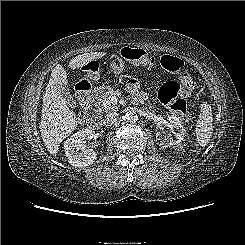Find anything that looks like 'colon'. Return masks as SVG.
Returning a JSON list of instances; mask_svg holds the SVG:
<instances>
[{
    "mask_svg": "<svg viewBox=\"0 0 245 245\" xmlns=\"http://www.w3.org/2000/svg\"><path fill=\"white\" fill-rule=\"evenodd\" d=\"M121 54L124 58L144 64L149 69L153 67L155 62L154 58L141 49H123ZM160 64L166 71L179 74L180 81L165 82L158 91L159 99L162 103L169 105L176 116L189 121L191 116L187 102L183 97L189 96L195 87L190 70L181 59L171 55L162 56Z\"/></svg>",
    "mask_w": 245,
    "mask_h": 245,
    "instance_id": "colon-1",
    "label": "colon"
}]
</instances>
